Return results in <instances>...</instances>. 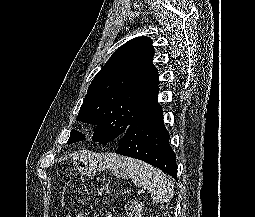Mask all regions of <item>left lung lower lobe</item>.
<instances>
[{
    "instance_id": "0a47b994",
    "label": "left lung lower lobe",
    "mask_w": 255,
    "mask_h": 217,
    "mask_svg": "<svg viewBox=\"0 0 255 217\" xmlns=\"http://www.w3.org/2000/svg\"><path fill=\"white\" fill-rule=\"evenodd\" d=\"M169 132L163 122L157 99L135 121L120 140L116 153L143 160L177 180L176 155L169 144Z\"/></svg>"
}]
</instances>
